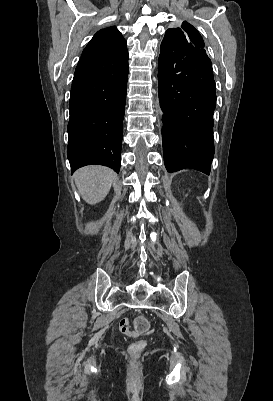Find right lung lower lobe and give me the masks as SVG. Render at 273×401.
Segmentation results:
<instances>
[{
  "instance_id": "right-lung-lower-lobe-1",
  "label": "right lung lower lobe",
  "mask_w": 273,
  "mask_h": 401,
  "mask_svg": "<svg viewBox=\"0 0 273 401\" xmlns=\"http://www.w3.org/2000/svg\"><path fill=\"white\" fill-rule=\"evenodd\" d=\"M127 78L128 58L72 83L67 147L72 172L90 164L119 172Z\"/></svg>"
}]
</instances>
